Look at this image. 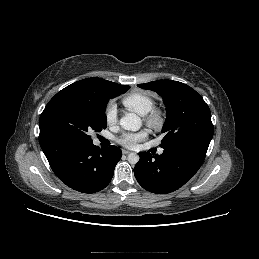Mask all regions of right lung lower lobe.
I'll use <instances>...</instances> for the list:
<instances>
[{
	"label": "right lung lower lobe",
	"mask_w": 259,
	"mask_h": 259,
	"mask_svg": "<svg viewBox=\"0 0 259 259\" xmlns=\"http://www.w3.org/2000/svg\"><path fill=\"white\" fill-rule=\"evenodd\" d=\"M44 153L58 178L83 193L104 189L122 156L117 146L100 150L93 143H63Z\"/></svg>",
	"instance_id": "obj_1"
}]
</instances>
